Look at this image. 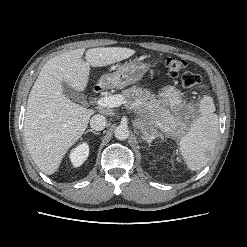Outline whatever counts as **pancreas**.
Returning a JSON list of instances; mask_svg holds the SVG:
<instances>
[{
    "instance_id": "pancreas-1",
    "label": "pancreas",
    "mask_w": 247,
    "mask_h": 247,
    "mask_svg": "<svg viewBox=\"0 0 247 247\" xmlns=\"http://www.w3.org/2000/svg\"><path fill=\"white\" fill-rule=\"evenodd\" d=\"M127 105H133L136 113L144 114L149 111L158 121L169 122L172 120L170 112L147 89L132 86L122 90Z\"/></svg>"
}]
</instances>
